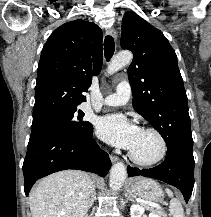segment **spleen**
<instances>
[{
    "label": "spleen",
    "mask_w": 211,
    "mask_h": 217,
    "mask_svg": "<svg viewBox=\"0 0 211 217\" xmlns=\"http://www.w3.org/2000/svg\"><path fill=\"white\" fill-rule=\"evenodd\" d=\"M166 193L169 197H173L171 190L166 189ZM170 212L173 217H184V210L179 200L172 199L170 202Z\"/></svg>",
    "instance_id": "spleen-1"
}]
</instances>
